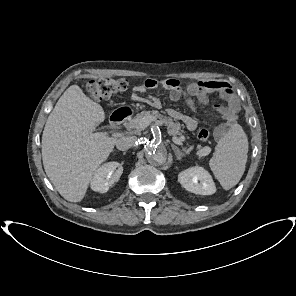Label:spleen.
I'll return each mask as SVG.
<instances>
[{
    "mask_svg": "<svg viewBox=\"0 0 296 296\" xmlns=\"http://www.w3.org/2000/svg\"><path fill=\"white\" fill-rule=\"evenodd\" d=\"M248 140L242 127L234 126L217 143L209 166L225 190L241 179L247 162Z\"/></svg>",
    "mask_w": 296,
    "mask_h": 296,
    "instance_id": "1",
    "label": "spleen"
}]
</instances>
